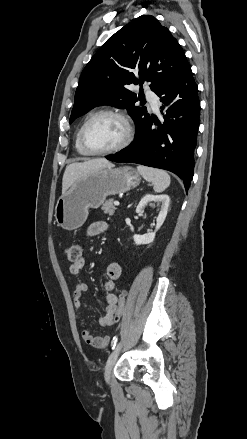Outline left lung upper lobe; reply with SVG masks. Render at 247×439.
<instances>
[{"mask_svg":"<svg viewBox=\"0 0 247 439\" xmlns=\"http://www.w3.org/2000/svg\"><path fill=\"white\" fill-rule=\"evenodd\" d=\"M183 49L169 30L153 16L143 15L112 35L82 71L70 117L100 105L126 108L136 130L149 117L146 107L136 106L142 84L159 91L184 65ZM140 84V95L128 90Z\"/></svg>","mask_w":247,"mask_h":439,"instance_id":"5c2ea615","label":"left lung upper lobe"}]
</instances>
